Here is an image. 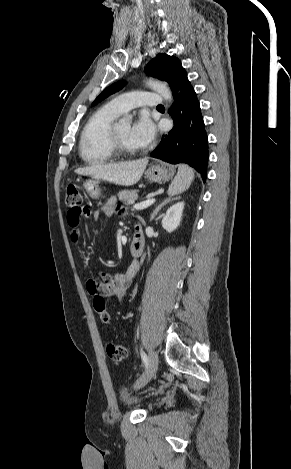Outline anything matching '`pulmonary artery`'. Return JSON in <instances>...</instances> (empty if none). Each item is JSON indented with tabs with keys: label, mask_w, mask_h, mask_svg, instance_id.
<instances>
[{
	"label": "pulmonary artery",
	"mask_w": 291,
	"mask_h": 469,
	"mask_svg": "<svg viewBox=\"0 0 291 469\" xmlns=\"http://www.w3.org/2000/svg\"><path fill=\"white\" fill-rule=\"evenodd\" d=\"M110 103L123 113L137 107H157L162 105L163 98L155 92L135 91L118 95Z\"/></svg>",
	"instance_id": "obj_1"
}]
</instances>
